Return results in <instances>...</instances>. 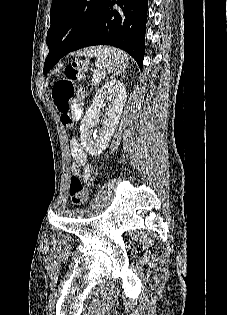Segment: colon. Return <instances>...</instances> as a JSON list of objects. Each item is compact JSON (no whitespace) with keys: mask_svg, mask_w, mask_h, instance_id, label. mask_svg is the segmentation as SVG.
<instances>
[{"mask_svg":"<svg viewBox=\"0 0 227 315\" xmlns=\"http://www.w3.org/2000/svg\"><path fill=\"white\" fill-rule=\"evenodd\" d=\"M84 64L74 61L65 66L63 77L58 79L52 88V97L60 114L61 124L72 128L78 118L71 100L75 94V84L82 79ZM69 195L75 205L84 204L89 197V187L81 173L72 176L69 183Z\"/></svg>","mask_w":227,"mask_h":315,"instance_id":"1","label":"colon"}]
</instances>
